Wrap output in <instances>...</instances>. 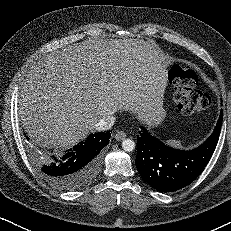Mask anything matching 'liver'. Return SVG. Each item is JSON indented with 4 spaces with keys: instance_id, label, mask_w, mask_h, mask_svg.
<instances>
[{
    "instance_id": "1",
    "label": "liver",
    "mask_w": 231,
    "mask_h": 231,
    "mask_svg": "<svg viewBox=\"0 0 231 231\" xmlns=\"http://www.w3.org/2000/svg\"><path fill=\"white\" fill-rule=\"evenodd\" d=\"M167 62L151 42L98 40L69 45L37 62L21 84L19 116L31 139L68 148L118 111L149 127L165 117Z\"/></svg>"
}]
</instances>
